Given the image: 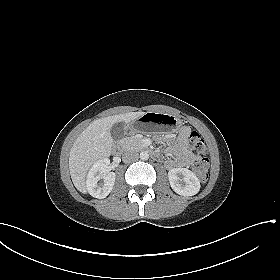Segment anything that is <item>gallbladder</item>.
Masks as SVG:
<instances>
[{"label":"gallbladder","instance_id":"obj_1","mask_svg":"<svg viewBox=\"0 0 280 280\" xmlns=\"http://www.w3.org/2000/svg\"><path fill=\"white\" fill-rule=\"evenodd\" d=\"M126 125L123 122H117L110 129L111 136L114 141H119L125 136Z\"/></svg>","mask_w":280,"mask_h":280}]
</instances>
